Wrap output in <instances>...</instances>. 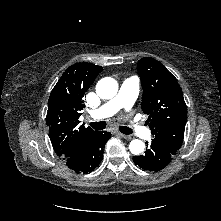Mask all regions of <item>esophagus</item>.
I'll use <instances>...</instances> for the list:
<instances>
[{
  "label": "esophagus",
  "instance_id": "34e87169",
  "mask_svg": "<svg viewBox=\"0 0 221 221\" xmlns=\"http://www.w3.org/2000/svg\"><path fill=\"white\" fill-rule=\"evenodd\" d=\"M119 136H121L122 138L124 139H127V140H131L132 139V136L131 135H126V134H123V133H117Z\"/></svg>",
  "mask_w": 221,
  "mask_h": 221
}]
</instances>
